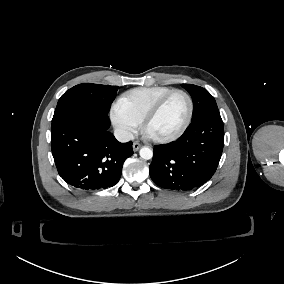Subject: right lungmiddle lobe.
<instances>
[{
	"instance_id": "dd1d6c3e",
	"label": "right lung middle lobe",
	"mask_w": 284,
	"mask_h": 284,
	"mask_svg": "<svg viewBox=\"0 0 284 284\" xmlns=\"http://www.w3.org/2000/svg\"><path fill=\"white\" fill-rule=\"evenodd\" d=\"M117 89V86L91 83L76 85L60 97L53 118L76 107L93 108L108 114L111 104L116 97Z\"/></svg>"
}]
</instances>
